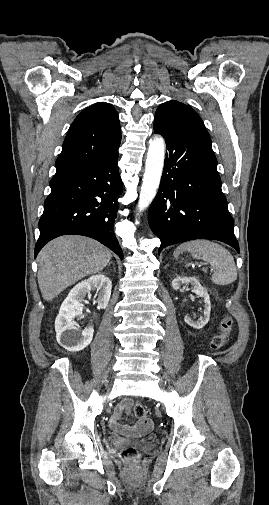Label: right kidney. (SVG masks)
Listing matches in <instances>:
<instances>
[{"label":"right kidney","instance_id":"obj_1","mask_svg":"<svg viewBox=\"0 0 269 505\" xmlns=\"http://www.w3.org/2000/svg\"><path fill=\"white\" fill-rule=\"evenodd\" d=\"M111 289V280L104 274H98L78 283L69 292L55 320L56 338L61 346L70 352H78L91 343L93 327L80 331L76 327L75 319L82 315L84 306L82 302L86 294H90L91 290L96 291L98 307L105 309L111 296Z\"/></svg>","mask_w":269,"mask_h":505}]
</instances>
